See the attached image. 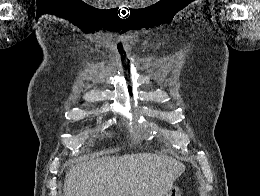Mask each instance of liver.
<instances>
[{"label":"liver","instance_id":"liver-1","mask_svg":"<svg viewBox=\"0 0 260 196\" xmlns=\"http://www.w3.org/2000/svg\"><path fill=\"white\" fill-rule=\"evenodd\" d=\"M185 166L164 154L90 158L72 166L65 196H166Z\"/></svg>","mask_w":260,"mask_h":196}]
</instances>
